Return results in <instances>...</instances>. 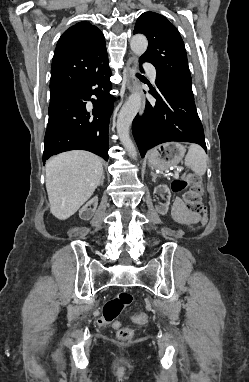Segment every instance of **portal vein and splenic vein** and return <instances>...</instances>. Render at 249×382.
<instances>
[{"mask_svg": "<svg viewBox=\"0 0 249 382\" xmlns=\"http://www.w3.org/2000/svg\"><path fill=\"white\" fill-rule=\"evenodd\" d=\"M175 176H178V170L175 172Z\"/></svg>", "mask_w": 249, "mask_h": 382, "instance_id": "obj_1", "label": "portal vein and splenic vein"}]
</instances>
